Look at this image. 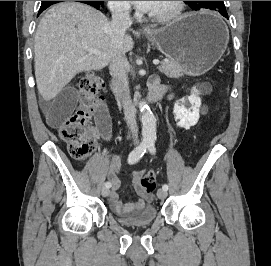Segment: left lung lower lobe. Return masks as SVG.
<instances>
[{"mask_svg": "<svg viewBox=\"0 0 271 266\" xmlns=\"http://www.w3.org/2000/svg\"><path fill=\"white\" fill-rule=\"evenodd\" d=\"M223 17L227 18L228 19V14L226 11L224 12H219Z\"/></svg>", "mask_w": 271, "mask_h": 266, "instance_id": "left-lung-lower-lobe-1", "label": "left lung lower lobe"}]
</instances>
